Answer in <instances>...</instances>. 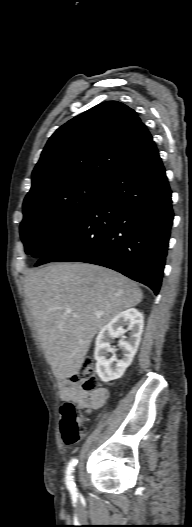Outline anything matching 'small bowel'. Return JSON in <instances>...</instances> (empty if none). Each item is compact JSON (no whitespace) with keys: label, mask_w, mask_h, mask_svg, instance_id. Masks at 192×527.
<instances>
[{"label":"small bowel","mask_w":192,"mask_h":527,"mask_svg":"<svg viewBox=\"0 0 192 527\" xmlns=\"http://www.w3.org/2000/svg\"><path fill=\"white\" fill-rule=\"evenodd\" d=\"M62 396L65 399L76 402L82 409L91 411L101 407L108 397L105 388H97L94 391H85L79 385L67 380L62 381Z\"/></svg>","instance_id":"1"}]
</instances>
